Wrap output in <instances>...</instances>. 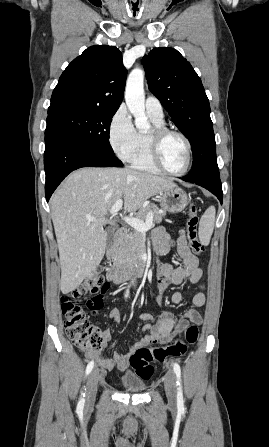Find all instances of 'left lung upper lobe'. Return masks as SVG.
<instances>
[{"mask_svg": "<svg viewBox=\"0 0 269 447\" xmlns=\"http://www.w3.org/2000/svg\"><path fill=\"white\" fill-rule=\"evenodd\" d=\"M142 64L149 90L192 146L193 165L187 177H220L209 100L191 64L172 48H154Z\"/></svg>", "mask_w": 269, "mask_h": 447, "instance_id": "5c2ea615", "label": "left lung upper lobe"}]
</instances>
